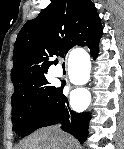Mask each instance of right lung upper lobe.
Wrapping results in <instances>:
<instances>
[{"mask_svg": "<svg viewBox=\"0 0 124 149\" xmlns=\"http://www.w3.org/2000/svg\"><path fill=\"white\" fill-rule=\"evenodd\" d=\"M49 6L20 30L13 51L11 80L15 88L30 85L47 71L49 57L64 56L72 47L99 42L102 26L90 0H50Z\"/></svg>", "mask_w": 124, "mask_h": 149, "instance_id": "obj_1", "label": "right lung upper lobe"}]
</instances>
